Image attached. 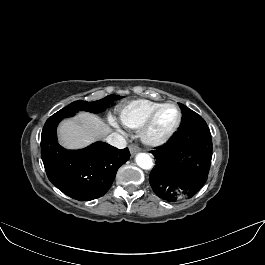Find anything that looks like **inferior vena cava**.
<instances>
[{
    "mask_svg": "<svg viewBox=\"0 0 265 265\" xmlns=\"http://www.w3.org/2000/svg\"><path fill=\"white\" fill-rule=\"evenodd\" d=\"M105 141H106V143H108L112 146H115L119 149H123L127 146L126 139L117 133L110 134L109 136H107Z\"/></svg>",
    "mask_w": 265,
    "mask_h": 265,
    "instance_id": "1",
    "label": "inferior vena cava"
}]
</instances>
